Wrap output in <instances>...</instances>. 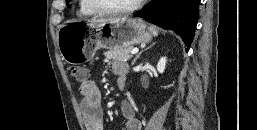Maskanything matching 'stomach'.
I'll return each mask as SVG.
<instances>
[{
	"mask_svg": "<svg viewBox=\"0 0 257 130\" xmlns=\"http://www.w3.org/2000/svg\"><path fill=\"white\" fill-rule=\"evenodd\" d=\"M152 35L140 19L111 18L102 23L70 20L58 30V47L69 64L91 60L100 48L118 49L147 43Z\"/></svg>",
	"mask_w": 257,
	"mask_h": 130,
	"instance_id": "0dacf381",
	"label": "stomach"
}]
</instances>
